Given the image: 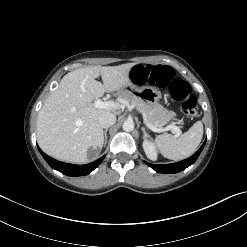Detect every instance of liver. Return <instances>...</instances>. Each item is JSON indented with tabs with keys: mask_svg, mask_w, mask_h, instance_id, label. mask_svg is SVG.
<instances>
[{
	"mask_svg": "<svg viewBox=\"0 0 247 247\" xmlns=\"http://www.w3.org/2000/svg\"><path fill=\"white\" fill-rule=\"evenodd\" d=\"M135 63L118 66H89L66 74L38 114L37 139L49 156L72 163L88 161L92 147L97 153L104 144L99 116L117 109L96 108L93 101L104 93H123ZM101 76L103 84L96 80Z\"/></svg>",
	"mask_w": 247,
	"mask_h": 247,
	"instance_id": "obj_1",
	"label": "liver"
}]
</instances>
